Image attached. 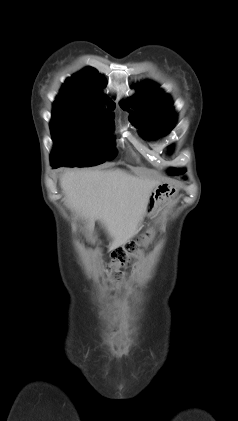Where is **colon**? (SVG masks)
Wrapping results in <instances>:
<instances>
[{"label": "colon", "instance_id": "colon-1", "mask_svg": "<svg viewBox=\"0 0 238 421\" xmlns=\"http://www.w3.org/2000/svg\"><path fill=\"white\" fill-rule=\"evenodd\" d=\"M145 240L146 237L141 236L136 241H130L124 247L113 251L109 270L116 281L121 279V270L130 266L132 258L137 254Z\"/></svg>", "mask_w": 238, "mask_h": 421}]
</instances>
